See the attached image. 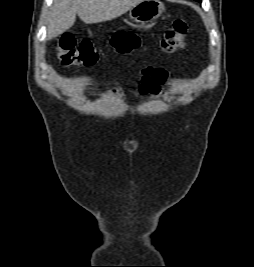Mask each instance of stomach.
I'll return each mask as SVG.
<instances>
[{
  "label": "stomach",
  "instance_id": "1",
  "mask_svg": "<svg viewBox=\"0 0 254 267\" xmlns=\"http://www.w3.org/2000/svg\"><path fill=\"white\" fill-rule=\"evenodd\" d=\"M164 11V5L159 0H143L129 11L130 18L141 24L158 19Z\"/></svg>",
  "mask_w": 254,
  "mask_h": 267
}]
</instances>
